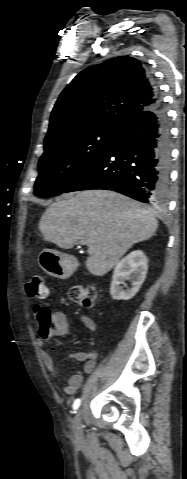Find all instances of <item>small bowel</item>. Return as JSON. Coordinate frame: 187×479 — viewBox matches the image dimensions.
Segmentation results:
<instances>
[{
	"label": "small bowel",
	"mask_w": 187,
	"mask_h": 479,
	"mask_svg": "<svg viewBox=\"0 0 187 479\" xmlns=\"http://www.w3.org/2000/svg\"><path fill=\"white\" fill-rule=\"evenodd\" d=\"M53 319L57 325V331L55 332V336L64 338L69 334V324L68 320L64 313L62 312H54ZM83 324L92 332H95L97 329L96 322L93 318L89 315H83L81 317ZM42 346V343H40ZM40 357L42 362L44 363L45 367L49 371L50 375L57 379L61 377V370L58 366L55 365L52 356L46 352L45 350H40ZM71 359H74L79 362H83V372L84 373H91L96 365V354L93 352H84V351H77L72 352L69 354ZM83 372L78 371L73 375L69 376L64 385H63V392L67 395H73L77 392V390L81 387L83 382Z\"/></svg>",
	"instance_id": "obj_1"
}]
</instances>
